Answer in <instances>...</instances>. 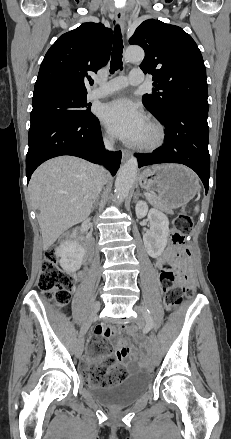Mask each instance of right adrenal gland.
Instances as JSON below:
<instances>
[{"label":"right adrenal gland","mask_w":231,"mask_h":439,"mask_svg":"<svg viewBox=\"0 0 231 439\" xmlns=\"http://www.w3.org/2000/svg\"><path fill=\"white\" fill-rule=\"evenodd\" d=\"M98 199H99V196L96 198V201L94 202V205L92 206V211L94 210V206L97 203Z\"/></svg>","instance_id":"2a0ac1e0"}]
</instances>
